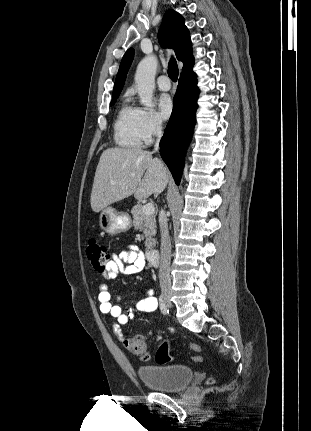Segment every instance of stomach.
Segmentation results:
<instances>
[{
	"label": "stomach",
	"instance_id": "stomach-1",
	"mask_svg": "<svg viewBox=\"0 0 311 431\" xmlns=\"http://www.w3.org/2000/svg\"><path fill=\"white\" fill-rule=\"evenodd\" d=\"M98 225L108 235H117L132 227V219L127 212H117L115 208H104L99 214Z\"/></svg>",
	"mask_w": 311,
	"mask_h": 431
}]
</instances>
